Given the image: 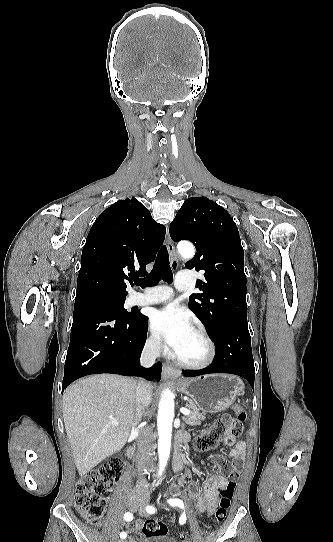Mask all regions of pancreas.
I'll return each instance as SVG.
<instances>
[{"label":"pancreas","instance_id":"pancreas-1","mask_svg":"<svg viewBox=\"0 0 333 542\" xmlns=\"http://www.w3.org/2000/svg\"><path fill=\"white\" fill-rule=\"evenodd\" d=\"M185 408H188V410H190V414L189 416H183L182 420H184L185 424H188V426H199V424H201V420H205L204 412L203 414H200L194 402H190V400H187Z\"/></svg>","mask_w":333,"mask_h":542}]
</instances>
